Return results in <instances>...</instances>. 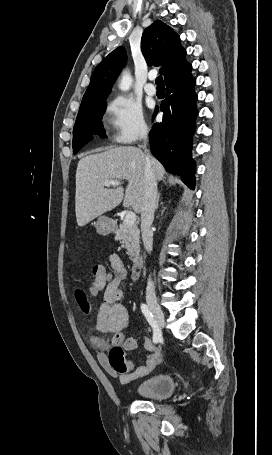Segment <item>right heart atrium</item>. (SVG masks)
I'll use <instances>...</instances> for the list:
<instances>
[{"mask_svg":"<svg viewBox=\"0 0 272 455\" xmlns=\"http://www.w3.org/2000/svg\"><path fill=\"white\" fill-rule=\"evenodd\" d=\"M107 113L116 143L131 144L147 135L148 126L143 111L133 100L116 97L108 103Z\"/></svg>","mask_w":272,"mask_h":455,"instance_id":"obj_1","label":"right heart atrium"}]
</instances>
